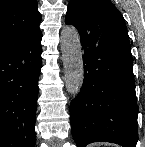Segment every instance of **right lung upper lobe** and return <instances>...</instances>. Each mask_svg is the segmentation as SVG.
I'll return each instance as SVG.
<instances>
[{"mask_svg": "<svg viewBox=\"0 0 145 147\" xmlns=\"http://www.w3.org/2000/svg\"><path fill=\"white\" fill-rule=\"evenodd\" d=\"M36 0H0V49L40 31Z\"/></svg>", "mask_w": 145, "mask_h": 147, "instance_id": "cb5924a9", "label": "right lung upper lobe"}]
</instances>
